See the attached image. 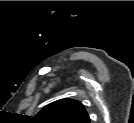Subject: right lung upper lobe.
Returning <instances> with one entry per match:
<instances>
[{"mask_svg": "<svg viewBox=\"0 0 134 123\" xmlns=\"http://www.w3.org/2000/svg\"><path fill=\"white\" fill-rule=\"evenodd\" d=\"M32 119L37 123H90L83 104L73 99L55 101Z\"/></svg>", "mask_w": 134, "mask_h": 123, "instance_id": "1", "label": "right lung upper lobe"}]
</instances>
